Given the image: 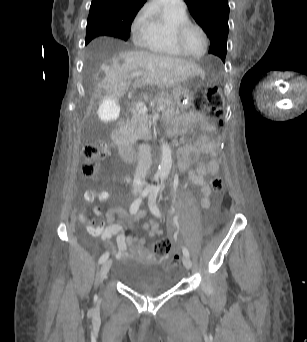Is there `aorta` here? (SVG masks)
<instances>
[{"mask_svg": "<svg viewBox=\"0 0 307 342\" xmlns=\"http://www.w3.org/2000/svg\"><path fill=\"white\" fill-rule=\"evenodd\" d=\"M172 168V150L167 142H161V162L156 172L159 178H167Z\"/></svg>", "mask_w": 307, "mask_h": 342, "instance_id": "1", "label": "aorta"}]
</instances>
